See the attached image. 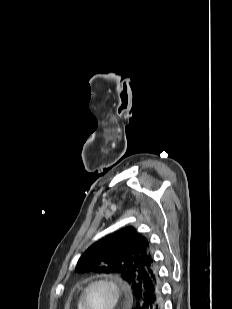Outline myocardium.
<instances>
[{
  "mask_svg": "<svg viewBox=\"0 0 232 309\" xmlns=\"http://www.w3.org/2000/svg\"><path fill=\"white\" fill-rule=\"evenodd\" d=\"M97 285L105 286L112 294L113 301L109 309H118L124 296V289L118 280L109 277L95 278L85 286L79 301L80 309H86L87 292L89 291L90 288Z\"/></svg>",
  "mask_w": 232,
  "mask_h": 309,
  "instance_id": "obj_1",
  "label": "myocardium"
}]
</instances>
